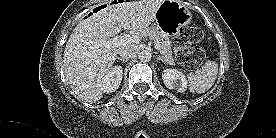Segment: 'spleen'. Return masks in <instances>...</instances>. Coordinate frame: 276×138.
<instances>
[{"label":"spleen","mask_w":276,"mask_h":138,"mask_svg":"<svg viewBox=\"0 0 276 138\" xmlns=\"http://www.w3.org/2000/svg\"><path fill=\"white\" fill-rule=\"evenodd\" d=\"M218 74V63L207 60L205 64L195 72L187 75L189 90L192 93L202 94L209 90L214 84ZM185 76V75H184Z\"/></svg>","instance_id":"obj_1"}]
</instances>
